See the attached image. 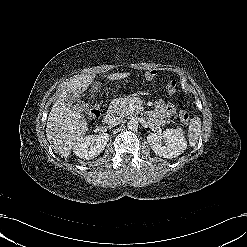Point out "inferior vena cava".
<instances>
[{
	"label": "inferior vena cava",
	"mask_w": 247,
	"mask_h": 247,
	"mask_svg": "<svg viewBox=\"0 0 247 247\" xmlns=\"http://www.w3.org/2000/svg\"><path fill=\"white\" fill-rule=\"evenodd\" d=\"M122 122V119L120 117L115 116H109L107 119V124L109 127H114L119 125Z\"/></svg>",
	"instance_id": "inferior-vena-cava-1"
}]
</instances>
